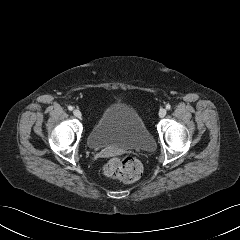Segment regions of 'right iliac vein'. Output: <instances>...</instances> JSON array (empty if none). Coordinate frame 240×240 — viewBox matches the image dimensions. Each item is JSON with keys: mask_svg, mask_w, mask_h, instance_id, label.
Instances as JSON below:
<instances>
[{"mask_svg": "<svg viewBox=\"0 0 240 240\" xmlns=\"http://www.w3.org/2000/svg\"><path fill=\"white\" fill-rule=\"evenodd\" d=\"M73 114H74V116L77 117V118H81V117H82V114H81L80 110H78V109H75V110L73 111Z\"/></svg>", "mask_w": 240, "mask_h": 240, "instance_id": "1", "label": "right iliac vein"}]
</instances>
